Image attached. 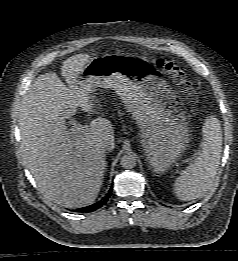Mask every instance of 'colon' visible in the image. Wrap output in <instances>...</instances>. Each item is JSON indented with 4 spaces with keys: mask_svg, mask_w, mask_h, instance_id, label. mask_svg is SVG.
I'll use <instances>...</instances> for the list:
<instances>
[{
    "mask_svg": "<svg viewBox=\"0 0 238 261\" xmlns=\"http://www.w3.org/2000/svg\"><path fill=\"white\" fill-rule=\"evenodd\" d=\"M154 65L165 72L179 87V89L186 93L187 97L191 101H195L197 99V94L191 81L179 66L163 58L155 59Z\"/></svg>",
    "mask_w": 238,
    "mask_h": 261,
    "instance_id": "1",
    "label": "colon"
}]
</instances>
